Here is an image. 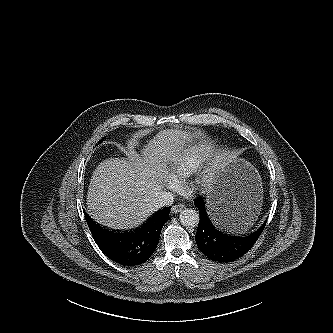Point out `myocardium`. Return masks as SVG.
<instances>
[{
    "label": "myocardium",
    "mask_w": 333,
    "mask_h": 333,
    "mask_svg": "<svg viewBox=\"0 0 333 333\" xmlns=\"http://www.w3.org/2000/svg\"><path fill=\"white\" fill-rule=\"evenodd\" d=\"M212 176L207 174L206 172L200 173L197 175L194 180L192 181V184L199 189H206L208 188L212 183Z\"/></svg>",
    "instance_id": "myocardium-1"
}]
</instances>
